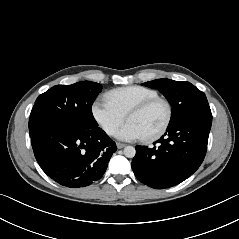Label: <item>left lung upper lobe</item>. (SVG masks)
Wrapping results in <instances>:
<instances>
[{
	"label": "left lung upper lobe",
	"instance_id": "left-lung-upper-lobe-1",
	"mask_svg": "<svg viewBox=\"0 0 239 239\" xmlns=\"http://www.w3.org/2000/svg\"><path fill=\"white\" fill-rule=\"evenodd\" d=\"M142 85L159 90L167 98L172 106L170 123L193 115H212L205 94L189 82L157 79Z\"/></svg>",
	"mask_w": 239,
	"mask_h": 239
}]
</instances>
